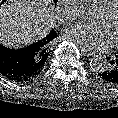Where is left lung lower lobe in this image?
Returning <instances> with one entry per match:
<instances>
[{"mask_svg":"<svg viewBox=\"0 0 118 118\" xmlns=\"http://www.w3.org/2000/svg\"><path fill=\"white\" fill-rule=\"evenodd\" d=\"M108 62L106 70L99 75L106 82L118 84V55L108 58Z\"/></svg>","mask_w":118,"mask_h":118,"instance_id":"left-lung-lower-lobe-1","label":"left lung lower lobe"}]
</instances>
